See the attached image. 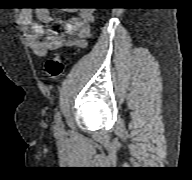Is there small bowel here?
Listing matches in <instances>:
<instances>
[{"label":"small bowel","instance_id":"small-bowel-1","mask_svg":"<svg viewBox=\"0 0 192 180\" xmlns=\"http://www.w3.org/2000/svg\"><path fill=\"white\" fill-rule=\"evenodd\" d=\"M36 17L35 20L32 10L24 9L19 15V20L28 47L39 57H44L51 50L63 47L83 48L92 35L90 24L93 21V13L89 9H83L77 15L63 20L53 18L47 9L40 8L36 11ZM44 24L63 26L65 35L45 28Z\"/></svg>","mask_w":192,"mask_h":180}]
</instances>
